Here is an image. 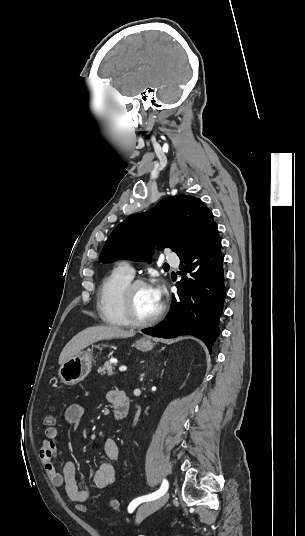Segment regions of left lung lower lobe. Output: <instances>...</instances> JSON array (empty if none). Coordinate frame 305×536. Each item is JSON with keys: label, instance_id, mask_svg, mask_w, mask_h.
Instances as JSON below:
<instances>
[{"label": "left lung lower lobe", "instance_id": "left-lung-lower-lobe-1", "mask_svg": "<svg viewBox=\"0 0 305 536\" xmlns=\"http://www.w3.org/2000/svg\"><path fill=\"white\" fill-rule=\"evenodd\" d=\"M182 280L176 284L178 297L166 319L143 333L174 338L192 335L211 347L218 337L219 318L226 296L223 255L218 228H213L188 254L180 257Z\"/></svg>", "mask_w": 305, "mask_h": 536}]
</instances>
